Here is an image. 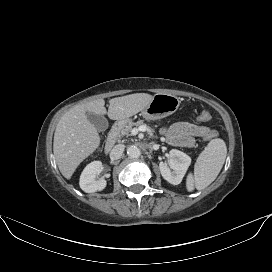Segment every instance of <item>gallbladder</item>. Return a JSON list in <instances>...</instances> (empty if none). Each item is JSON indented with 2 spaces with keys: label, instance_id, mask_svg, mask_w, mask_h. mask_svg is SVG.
Wrapping results in <instances>:
<instances>
[{
  "label": "gallbladder",
  "instance_id": "gallbladder-1",
  "mask_svg": "<svg viewBox=\"0 0 272 272\" xmlns=\"http://www.w3.org/2000/svg\"><path fill=\"white\" fill-rule=\"evenodd\" d=\"M86 115L89 122L93 124L98 131H105L108 128V121L103 115L92 112H87Z\"/></svg>",
  "mask_w": 272,
  "mask_h": 272
}]
</instances>
